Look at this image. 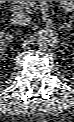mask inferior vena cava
<instances>
[{
	"label": "inferior vena cava",
	"mask_w": 74,
	"mask_h": 122,
	"mask_svg": "<svg viewBox=\"0 0 74 122\" xmlns=\"http://www.w3.org/2000/svg\"><path fill=\"white\" fill-rule=\"evenodd\" d=\"M10 21L15 25L26 26L31 23V17L23 11H15L12 13Z\"/></svg>",
	"instance_id": "602c4592"
}]
</instances>
